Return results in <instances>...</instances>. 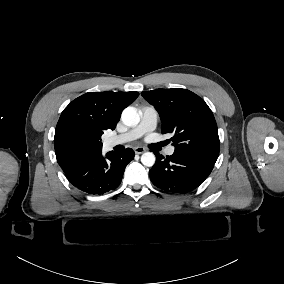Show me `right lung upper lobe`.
Listing matches in <instances>:
<instances>
[{"mask_svg":"<svg viewBox=\"0 0 284 284\" xmlns=\"http://www.w3.org/2000/svg\"><path fill=\"white\" fill-rule=\"evenodd\" d=\"M138 92H88L74 99L61 113L55 129L57 162L66 173L102 153L101 136L114 130L124 108Z\"/></svg>","mask_w":284,"mask_h":284,"instance_id":"1","label":"right lung upper lobe"}]
</instances>
